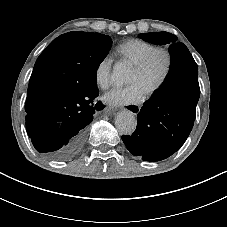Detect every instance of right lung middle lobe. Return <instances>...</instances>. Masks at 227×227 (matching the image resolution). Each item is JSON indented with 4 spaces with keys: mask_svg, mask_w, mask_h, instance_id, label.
<instances>
[{
    "mask_svg": "<svg viewBox=\"0 0 227 227\" xmlns=\"http://www.w3.org/2000/svg\"><path fill=\"white\" fill-rule=\"evenodd\" d=\"M112 40L108 35L68 32L54 39L37 61L69 70L74 78L68 92L81 95L97 90L96 72L107 56Z\"/></svg>",
    "mask_w": 227,
    "mask_h": 227,
    "instance_id": "obj_1",
    "label": "right lung middle lobe"
}]
</instances>
